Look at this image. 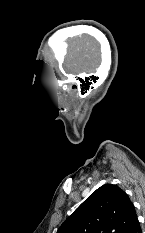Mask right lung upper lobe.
Masks as SVG:
<instances>
[{
	"label": "right lung upper lobe",
	"mask_w": 145,
	"mask_h": 233,
	"mask_svg": "<svg viewBox=\"0 0 145 233\" xmlns=\"http://www.w3.org/2000/svg\"><path fill=\"white\" fill-rule=\"evenodd\" d=\"M136 220L128 195L116 185L105 184L66 219L57 233H129Z\"/></svg>",
	"instance_id": "obj_1"
}]
</instances>
